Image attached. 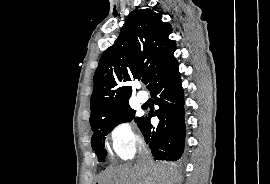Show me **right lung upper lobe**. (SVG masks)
I'll list each match as a JSON object with an SVG mask.
<instances>
[{"label": "right lung upper lobe", "mask_w": 270, "mask_h": 184, "mask_svg": "<svg viewBox=\"0 0 270 184\" xmlns=\"http://www.w3.org/2000/svg\"><path fill=\"white\" fill-rule=\"evenodd\" d=\"M153 8L132 11L112 46L102 54L94 74L90 124L105 120L129 105L132 79L149 77L148 89L175 63L171 24Z\"/></svg>", "instance_id": "right-lung-upper-lobe-1"}]
</instances>
